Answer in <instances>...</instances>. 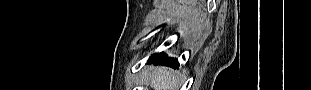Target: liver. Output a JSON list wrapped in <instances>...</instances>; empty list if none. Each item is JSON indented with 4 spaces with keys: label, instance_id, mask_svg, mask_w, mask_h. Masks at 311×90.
Listing matches in <instances>:
<instances>
[{
    "label": "liver",
    "instance_id": "obj_1",
    "mask_svg": "<svg viewBox=\"0 0 311 90\" xmlns=\"http://www.w3.org/2000/svg\"><path fill=\"white\" fill-rule=\"evenodd\" d=\"M151 86L155 90H177L179 80L170 70L158 68L152 74Z\"/></svg>",
    "mask_w": 311,
    "mask_h": 90
}]
</instances>
